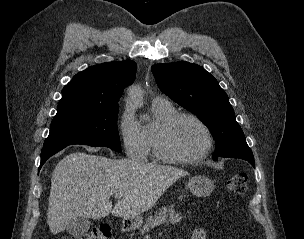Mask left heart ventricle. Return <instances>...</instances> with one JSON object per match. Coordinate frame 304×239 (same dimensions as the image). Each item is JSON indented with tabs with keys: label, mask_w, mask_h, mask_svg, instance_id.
Segmentation results:
<instances>
[{
	"label": "left heart ventricle",
	"mask_w": 304,
	"mask_h": 239,
	"mask_svg": "<svg viewBox=\"0 0 304 239\" xmlns=\"http://www.w3.org/2000/svg\"><path fill=\"white\" fill-rule=\"evenodd\" d=\"M206 144L202 128L193 120L184 118L172 129L168 147L177 156L188 157L200 153Z\"/></svg>",
	"instance_id": "b2bd125f"
}]
</instances>
